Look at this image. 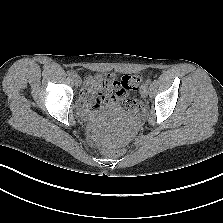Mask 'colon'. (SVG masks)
<instances>
[{"label":"colon","mask_w":223,"mask_h":223,"mask_svg":"<svg viewBox=\"0 0 223 223\" xmlns=\"http://www.w3.org/2000/svg\"><path fill=\"white\" fill-rule=\"evenodd\" d=\"M142 78L139 75H126L116 78L113 82L115 94L120 96V102L132 112L137 113L141 108L140 100L137 96H130L138 90Z\"/></svg>","instance_id":"1"}]
</instances>
